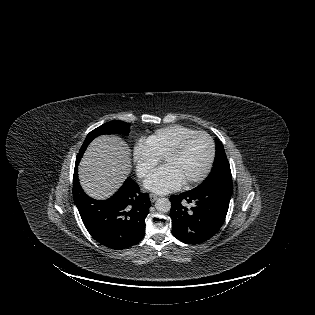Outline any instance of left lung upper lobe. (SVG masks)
<instances>
[{
	"label": "left lung upper lobe",
	"instance_id": "obj_1",
	"mask_svg": "<svg viewBox=\"0 0 315 315\" xmlns=\"http://www.w3.org/2000/svg\"><path fill=\"white\" fill-rule=\"evenodd\" d=\"M216 141V156L213 168L206 180L200 186H212L214 188L233 189L230 165L226 157L222 143Z\"/></svg>",
	"mask_w": 315,
	"mask_h": 315
}]
</instances>
